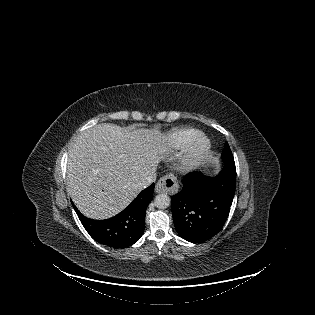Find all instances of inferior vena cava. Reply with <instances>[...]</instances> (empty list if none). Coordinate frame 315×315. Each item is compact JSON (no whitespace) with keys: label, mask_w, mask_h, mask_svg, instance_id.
<instances>
[{"label":"inferior vena cava","mask_w":315,"mask_h":315,"mask_svg":"<svg viewBox=\"0 0 315 315\" xmlns=\"http://www.w3.org/2000/svg\"><path fill=\"white\" fill-rule=\"evenodd\" d=\"M156 180V176L155 174L152 176L147 177L146 179H144L141 183V185L143 186V188H146L147 186H149L151 183H153Z\"/></svg>","instance_id":"obj_1"}]
</instances>
